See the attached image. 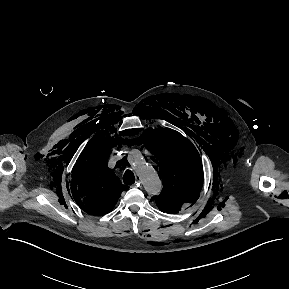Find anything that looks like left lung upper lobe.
<instances>
[{
  "label": "left lung upper lobe",
  "instance_id": "1",
  "mask_svg": "<svg viewBox=\"0 0 289 289\" xmlns=\"http://www.w3.org/2000/svg\"><path fill=\"white\" fill-rule=\"evenodd\" d=\"M140 138L157 163L154 168L163 182V191L154 196L159 210L176 214L193 205L203 184V167L193 144L177 131L149 129Z\"/></svg>",
  "mask_w": 289,
  "mask_h": 289
}]
</instances>
